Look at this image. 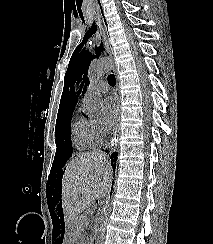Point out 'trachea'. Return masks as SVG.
Returning a JSON list of instances; mask_svg holds the SVG:
<instances>
[{"mask_svg": "<svg viewBox=\"0 0 213 244\" xmlns=\"http://www.w3.org/2000/svg\"><path fill=\"white\" fill-rule=\"evenodd\" d=\"M108 83L111 86H114L116 84V79H115V76L113 74H111V75L108 76Z\"/></svg>", "mask_w": 213, "mask_h": 244, "instance_id": "trachea-1", "label": "trachea"}]
</instances>
